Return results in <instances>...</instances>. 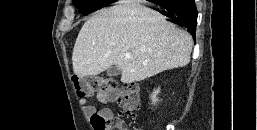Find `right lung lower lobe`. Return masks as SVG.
Returning a JSON list of instances; mask_svg holds the SVG:
<instances>
[{
    "label": "right lung lower lobe",
    "instance_id": "obj_1",
    "mask_svg": "<svg viewBox=\"0 0 257 130\" xmlns=\"http://www.w3.org/2000/svg\"><path fill=\"white\" fill-rule=\"evenodd\" d=\"M155 4L164 9L162 14L168 17V21L189 29L195 37L197 9L194 0H166Z\"/></svg>",
    "mask_w": 257,
    "mask_h": 130
}]
</instances>
